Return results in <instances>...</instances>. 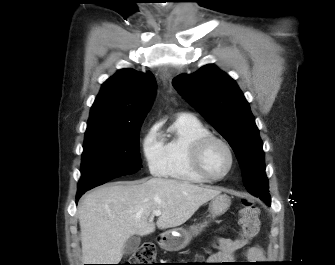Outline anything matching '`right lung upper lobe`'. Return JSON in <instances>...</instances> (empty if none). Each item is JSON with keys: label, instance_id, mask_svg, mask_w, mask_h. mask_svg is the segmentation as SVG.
I'll list each match as a JSON object with an SVG mask.
<instances>
[{"label": "right lung upper lobe", "instance_id": "cb5924a9", "mask_svg": "<svg viewBox=\"0 0 335 265\" xmlns=\"http://www.w3.org/2000/svg\"><path fill=\"white\" fill-rule=\"evenodd\" d=\"M155 91L156 80L152 73L119 70L103 83L91 108L85 134L118 133L142 123Z\"/></svg>", "mask_w": 335, "mask_h": 265}]
</instances>
